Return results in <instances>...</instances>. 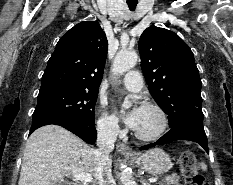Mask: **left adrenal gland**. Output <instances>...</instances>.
I'll list each match as a JSON object with an SVG mask.
<instances>
[{
  "label": "left adrenal gland",
  "instance_id": "1",
  "mask_svg": "<svg viewBox=\"0 0 233 185\" xmlns=\"http://www.w3.org/2000/svg\"><path fill=\"white\" fill-rule=\"evenodd\" d=\"M140 182L142 185H149L143 177L140 178Z\"/></svg>",
  "mask_w": 233,
  "mask_h": 185
}]
</instances>
